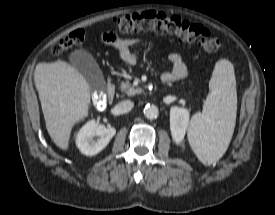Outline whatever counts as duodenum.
Returning <instances> with one entry per match:
<instances>
[{"instance_id": "duodenum-1", "label": "duodenum", "mask_w": 275, "mask_h": 215, "mask_svg": "<svg viewBox=\"0 0 275 215\" xmlns=\"http://www.w3.org/2000/svg\"><path fill=\"white\" fill-rule=\"evenodd\" d=\"M115 93H116L115 84L112 80H110L108 82L105 99H99L98 103L104 104L106 101H112L115 97Z\"/></svg>"}]
</instances>
